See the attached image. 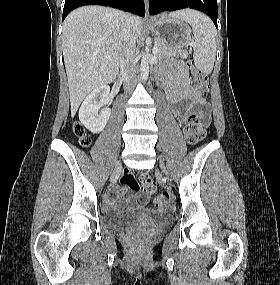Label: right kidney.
<instances>
[{
    "instance_id": "right-kidney-1",
    "label": "right kidney",
    "mask_w": 280,
    "mask_h": 285,
    "mask_svg": "<svg viewBox=\"0 0 280 285\" xmlns=\"http://www.w3.org/2000/svg\"><path fill=\"white\" fill-rule=\"evenodd\" d=\"M109 88L106 85L95 88L84 100L79 110L81 123L93 134L100 133L106 126L111 109L105 107L101 113V106L108 104Z\"/></svg>"
}]
</instances>
